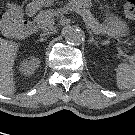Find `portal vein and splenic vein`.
<instances>
[{
    "mask_svg": "<svg viewBox=\"0 0 135 135\" xmlns=\"http://www.w3.org/2000/svg\"><path fill=\"white\" fill-rule=\"evenodd\" d=\"M49 24H54V21L53 20H50L49 21ZM93 32H96L94 29H91ZM119 50H120V52H122L123 53V51L119 48ZM123 56L125 57V58H127L130 62H133V60H134V56H129V55H127V54H124L123 53Z\"/></svg>",
    "mask_w": 135,
    "mask_h": 135,
    "instance_id": "18ae733b",
    "label": "portal vein and splenic vein"
}]
</instances>
